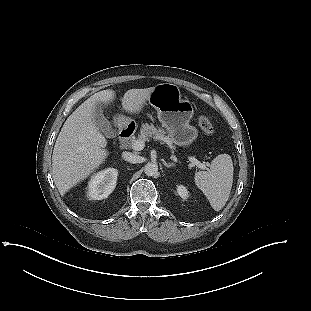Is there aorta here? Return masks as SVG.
Instances as JSON below:
<instances>
[{
    "instance_id": "762f6f07",
    "label": "aorta",
    "mask_w": 311,
    "mask_h": 311,
    "mask_svg": "<svg viewBox=\"0 0 311 311\" xmlns=\"http://www.w3.org/2000/svg\"><path fill=\"white\" fill-rule=\"evenodd\" d=\"M144 172L147 176H158V164L157 162H148L145 165Z\"/></svg>"
}]
</instances>
